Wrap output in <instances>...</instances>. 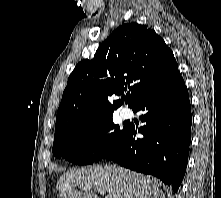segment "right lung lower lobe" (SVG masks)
I'll use <instances>...</instances> for the list:
<instances>
[{
    "mask_svg": "<svg viewBox=\"0 0 221 198\" xmlns=\"http://www.w3.org/2000/svg\"><path fill=\"white\" fill-rule=\"evenodd\" d=\"M133 111H144L140 119L146 125L138 129L144 137L135 138L137 128L128 125L120 143L103 159L154 175L177 191L188 163L192 122L189 95L180 72L153 90Z\"/></svg>",
    "mask_w": 221,
    "mask_h": 198,
    "instance_id": "right-lung-lower-lobe-1",
    "label": "right lung lower lobe"
}]
</instances>
